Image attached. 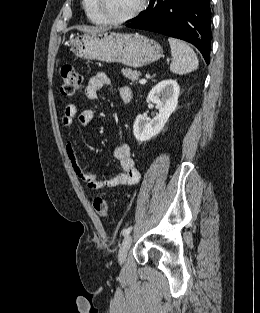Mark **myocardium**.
Returning a JSON list of instances; mask_svg holds the SVG:
<instances>
[{"label": "myocardium", "mask_w": 260, "mask_h": 313, "mask_svg": "<svg viewBox=\"0 0 260 313\" xmlns=\"http://www.w3.org/2000/svg\"><path fill=\"white\" fill-rule=\"evenodd\" d=\"M94 5L97 13L106 24L119 25L127 23L140 15V13L144 10L146 6V0H139L137 6L133 9V11H131L126 16L120 18H112L106 14L103 8V0H94Z\"/></svg>", "instance_id": "obj_1"}]
</instances>
